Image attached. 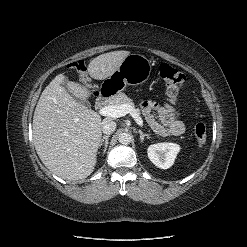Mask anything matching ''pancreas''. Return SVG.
Masks as SVG:
<instances>
[{
	"label": "pancreas",
	"mask_w": 247,
	"mask_h": 247,
	"mask_svg": "<svg viewBox=\"0 0 247 247\" xmlns=\"http://www.w3.org/2000/svg\"><path fill=\"white\" fill-rule=\"evenodd\" d=\"M110 105H122V104H129L131 105L133 108H135L134 106V102L132 101V99H130L129 97H127V95H125L124 93L120 92L118 94H116L114 97H112V99L109 101ZM139 113V109H136Z\"/></svg>",
	"instance_id": "obj_1"
}]
</instances>
